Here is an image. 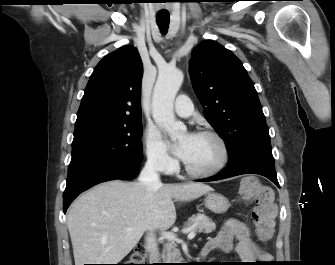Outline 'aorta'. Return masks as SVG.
Here are the masks:
<instances>
[{"label":"aorta","instance_id":"1","mask_svg":"<svg viewBox=\"0 0 335 265\" xmlns=\"http://www.w3.org/2000/svg\"><path fill=\"white\" fill-rule=\"evenodd\" d=\"M182 82L183 73L179 69L167 67L159 71L153 91V119L169 133L172 140L182 137L186 131L185 125L175 120L173 112L175 96Z\"/></svg>","mask_w":335,"mask_h":265}]
</instances>
